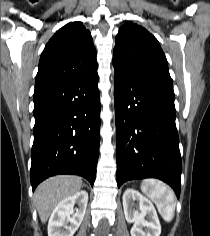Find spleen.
Returning a JSON list of instances; mask_svg holds the SVG:
<instances>
[{
	"mask_svg": "<svg viewBox=\"0 0 210 236\" xmlns=\"http://www.w3.org/2000/svg\"><path fill=\"white\" fill-rule=\"evenodd\" d=\"M141 190L155 203L162 218L170 222L176 207L174 192L162 181L152 178L142 182Z\"/></svg>",
	"mask_w": 210,
	"mask_h": 236,
	"instance_id": "spleen-1",
	"label": "spleen"
}]
</instances>
